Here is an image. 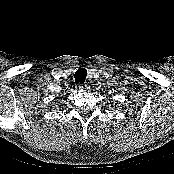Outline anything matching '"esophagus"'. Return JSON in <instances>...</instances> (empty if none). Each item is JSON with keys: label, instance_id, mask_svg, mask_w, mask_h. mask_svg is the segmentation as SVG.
Returning <instances> with one entry per match:
<instances>
[{"label": "esophagus", "instance_id": "obj_1", "mask_svg": "<svg viewBox=\"0 0 174 174\" xmlns=\"http://www.w3.org/2000/svg\"><path fill=\"white\" fill-rule=\"evenodd\" d=\"M79 91H84L86 89H88V85L87 84H80L79 87H78Z\"/></svg>", "mask_w": 174, "mask_h": 174}]
</instances>
